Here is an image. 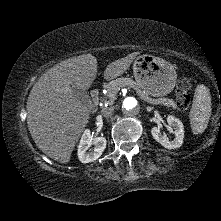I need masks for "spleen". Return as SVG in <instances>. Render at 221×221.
I'll use <instances>...</instances> for the list:
<instances>
[{
    "instance_id": "spleen-1",
    "label": "spleen",
    "mask_w": 221,
    "mask_h": 221,
    "mask_svg": "<svg viewBox=\"0 0 221 221\" xmlns=\"http://www.w3.org/2000/svg\"><path fill=\"white\" fill-rule=\"evenodd\" d=\"M211 115V97L208 88L200 84L196 87L193 106L189 114L194 134L203 133Z\"/></svg>"
}]
</instances>
